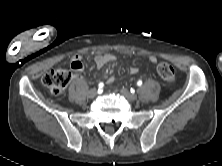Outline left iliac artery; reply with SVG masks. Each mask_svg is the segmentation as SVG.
I'll return each mask as SVG.
<instances>
[{
  "mask_svg": "<svg viewBox=\"0 0 222 166\" xmlns=\"http://www.w3.org/2000/svg\"><path fill=\"white\" fill-rule=\"evenodd\" d=\"M141 85H142V81L139 80V81L137 82V86H141Z\"/></svg>",
  "mask_w": 222,
  "mask_h": 166,
  "instance_id": "left-iliac-artery-1",
  "label": "left iliac artery"
}]
</instances>
